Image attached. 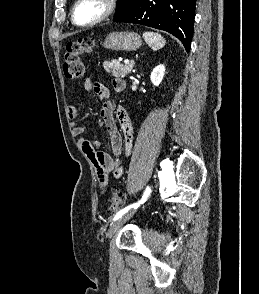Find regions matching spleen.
I'll use <instances>...</instances> for the list:
<instances>
[{
    "mask_svg": "<svg viewBox=\"0 0 259 294\" xmlns=\"http://www.w3.org/2000/svg\"><path fill=\"white\" fill-rule=\"evenodd\" d=\"M144 40L154 51L161 49L166 44V40L159 34L154 32L143 33Z\"/></svg>",
    "mask_w": 259,
    "mask_h": 294,
    "instance_id": "3e777b00",
    "label": "spleen"
}]
</instances>
